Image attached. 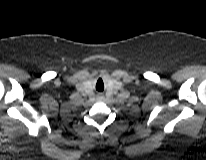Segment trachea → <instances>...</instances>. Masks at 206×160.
<instances>
[{
	"label": "trachea",
	"instance_id": "1",
	"mask_svg": "<svg viewBox=\"0 0 206 160\" xmlns=\"http://www.w3.org/2000/svg\"><path fill=\"white\" fill-rule=\"evenodd\" d=\"M99 84H100L101 88H99ZM96 88H97L98 91H103V90H104V84H103L102 79H99V80L97 81Z\"/></svg>",
	"mask_w": 206,
	"mask_h": 160
}]
</instances>
